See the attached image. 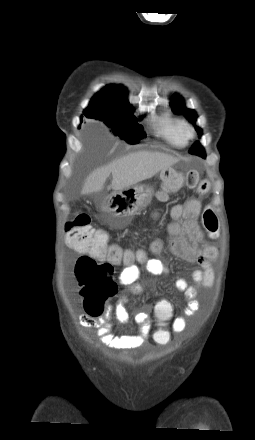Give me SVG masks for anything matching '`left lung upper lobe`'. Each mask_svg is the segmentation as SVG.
<instances>
[{"label": "left lung upper lobe", "instance_id": "left-lung-upper-lobe-1", "mask_svg": "<svg viewBox=\"0 0 255 440\" xmlns=\"http://www.w3.org/2000/svg\"><path fill=\"white\" fill-rule=\"evenodd\" d=\"M170 106L172 107V110L176 114H183L191 122H195L196 121L197 115H196L195 111L186 108L184 106L183 101L181 100L180 97L176 98L174 100V102L170 104ZM195 128H196V131H197V133H198V135L200 137L202 135L201 129L199 127H195ZM189 152L191 154L198 155V156H200L202 158H206V154H205L204 148L201 146V144L198 141H196L192 145V147L189 150Z\"/></svg>", "mask_w": 255, "mask_h": 440}]
</instances>
